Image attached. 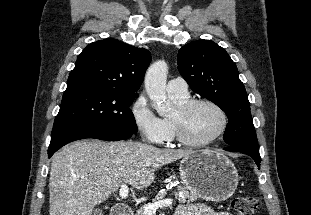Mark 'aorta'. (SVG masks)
Returning <instances> with one entry per match:
<instances>
[{
	"label": "aorta",
	"mask_w": 311,
	"mask_h": 215,
	"mask_svg": "<svg viewBox=\"0 0 311 215\" xmlns=\"http://www.w3.org/2000/svg\"><path fill=\"white\" fill-rule=\"evenodd\" d=\"M167 73V63L159 60L148 68L144 79L146 93L153 102L158 115L162 117L172 111V103L166 97Z\"/></svg>",
	"instance_id": "762f6f07"
}]
</instances>
